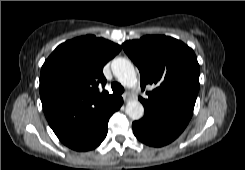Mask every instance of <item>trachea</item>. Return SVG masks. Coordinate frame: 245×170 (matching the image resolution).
Wrapping results in <instances>:
<instances>
[{
    "mask_svg": "<svg viewBox=\"0 0 245 170\" xmlns=\"http://www.w3.org/2000/svg\"><path fill=\"white\" fill-rule=\"evenodd\" d=\"M112 91L116 94H122L124 91L123 86L118 82H113L111 84Z\"/></svg>",
    "mask_w": 245,
    "mask_h": 170,
    "instance_id": "trachea-1",
    "label": "trachea"
}]
</instances>
